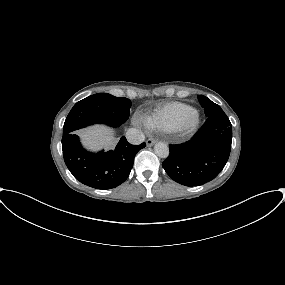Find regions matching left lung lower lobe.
<instances>
[{
  "label": "left lung lower lobe",
  "mask_w": 285,
  "mask_h": 285,
  "mask_svg": "<svg viewBox=\"0 0 285 285\" xmlns=\"http://www.w3.org/2000/svg\"><path fill=\"white\" fill-rule=\"evenodd\" d=\"M232 127L225 113L211 115L191 140L169 145L162 167L171 179L185 186H200L213 180L230 154Z\"/></svg>",
  "instance_id": "1"
}]
</instances>
